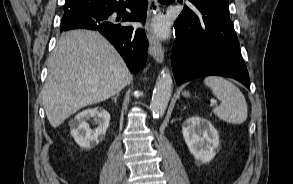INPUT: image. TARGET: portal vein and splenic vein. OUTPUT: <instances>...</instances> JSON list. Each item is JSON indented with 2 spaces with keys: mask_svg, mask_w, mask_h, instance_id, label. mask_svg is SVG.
I'll return each instance as SVG.
<instances>
[{
  "mask_svg": "<svg viewBox=\"0 0 293 184\" xmlns=\"http://www.w3.org/2000/svg\"><path fill=\"white\" fill-rule=\"evenodd\" d=\"M217 104V101L216 100H211V106H214V105H216Z\"/></svg>",
  "mask_w": 293,
  "mask_h": 184,
  "instance_id": "obj_1",
  "label": "portal vein and splenic vein"
}]
</instances>
